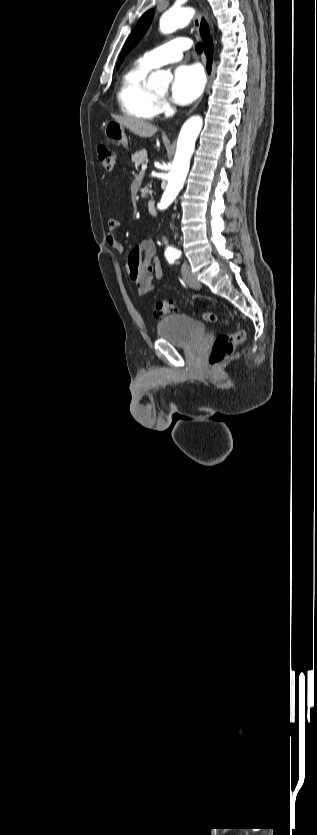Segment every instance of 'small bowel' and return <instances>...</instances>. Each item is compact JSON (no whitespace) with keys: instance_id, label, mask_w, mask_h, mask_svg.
Segmentation results:
<instances>
[{"instance_id":"small-bowel-1","label":"small bowel","mask_w":317,"mask_h":835,"mask_svg":"<svg viewBox=\"0 0 317 835\" xmlns=\"http://www.w3.org/2000/svg\"><path fill=\"white\" fill-rule=\"evenodd\" d=\"M121 222L117 218H110L107 222L108 234L106 236L107 244L119 254L125 253L124 245L118 240L116 231L120 228ZM156 245L150 240L146 239L135 245L127 253V266L130 278L136 283L137 290L140 294H147L153 289V277L156 280H161L163 277V270L160 262L156 256ZM144 264L151 265V272L143 271L141 261Z\"/></svg>"}]
</instances>
